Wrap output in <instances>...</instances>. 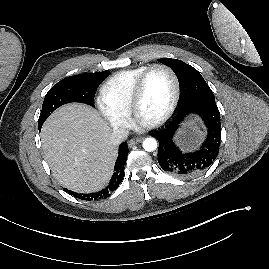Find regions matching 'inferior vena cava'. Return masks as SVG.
<instances>
[{
    "label": "inferior vena cava",
    "mask_w": 269,
    "mask_h": 269,
    "mask_svg": "<svg viewBox=\"0 0 269 269\" xmlns=\"http://www.w3.org/2000/svg\"><path fill=\"white\" fill-rule=\"evenodd\" d=\"M129 135V131L126 128L115 129L110 136V143L113 145H118L125 141Z\"/></svg>",
    "instance_id": "inferior-vena-cava-1"
}]
</instances>
